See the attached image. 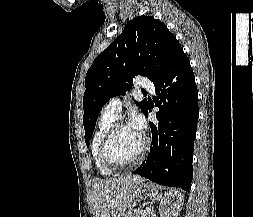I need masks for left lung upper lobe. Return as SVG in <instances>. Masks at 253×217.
<instances>
[{
  "label": "left lung upper lobe",
  "instance_id": "1",
  "mask_svg": "<svg viewBox=\"0 0 253 217\" xmlns=\"http://www.w3.org/2000/svg\"><path fill=\"white\" fill-rule=\"evenodd\" d=\"M182 53L179 41L164 23L150 16L129 21L122 34L87 71L83 98L86 144L92 137L101 108L110 98L129 90L137 75L156 82ZM136 104L145 114L147 101Z\"/></svg>",
  "mask_w": 253,
  "mask_h": 217
}]
</instances>
